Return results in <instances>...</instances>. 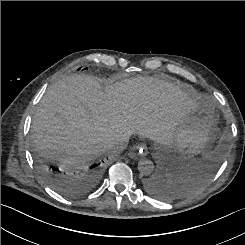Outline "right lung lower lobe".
<instances>
[{"mask_svg":"<svg viewBox=\"0 0 245 245\" xmlns=\"http://www.w3.org/2000/svg\"><path fill=\"white\" fill-rule=\"evenodd\" d=\"M43 174L50 185L59 193L67 197H78L88 191L99 175L101 167L98 164L92 165L82 173L63 174L56 167H43Z\"/></svg>","mask_w":245,"mask_h":245,"instance_id":"98d812e1","label":"right lung lower lobe"}]
</instances>
